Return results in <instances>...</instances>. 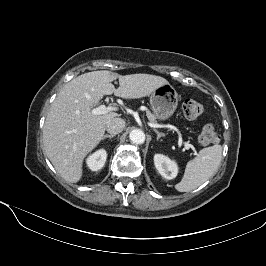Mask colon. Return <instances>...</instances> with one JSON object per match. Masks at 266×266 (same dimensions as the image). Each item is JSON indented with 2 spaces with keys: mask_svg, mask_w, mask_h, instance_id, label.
<instances>
[{
  "mask_svg": "<svg viewBox=\"0 0 266 266\" xmlns=\"http://www.w3.org/2000/svg\"><path fill=\"white\" fill-rule=\"evenodd\" d=\"M182 109L185 117L191 120L197 119L204 113V106L194 99H186ZM219 140L220 135L212 124L205 125L198 136V142L202 146L216 144Z\"/></svg>",
  "mask_w": 266,
  "mask_h": 266,
  "instance_id": "1",
  "label": "colon"
}]
</instances>
